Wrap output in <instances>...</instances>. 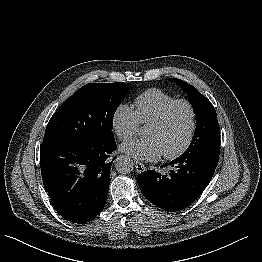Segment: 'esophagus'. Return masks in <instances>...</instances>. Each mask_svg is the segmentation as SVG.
Listing matches in <instances>:
<instances>
[{
  "mask_svg": "<svg viewBox=\"0 0 262 262\" xmlns=\"http://www.w3.org/2000/svg\"><path fill=\"white\" fill-rule=\"evenodd\" d=\"M135 167H136V171L138 173L144 172L146 170L145 165L143 163L139 162V161L135 162Z\"/></svg>",
  "mask_w": 262,
  "mask_h": 262,
  "instance_id": "esophagus-1",
  "label": "esophagus"
}]
</instances>
